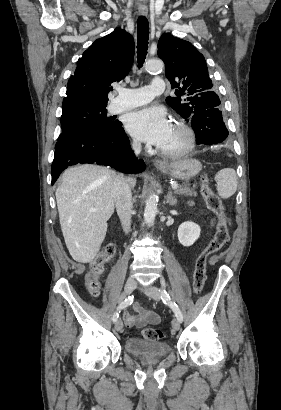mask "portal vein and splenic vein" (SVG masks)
I'll use <instances>...</instances> for the list:
<instances>
[{
    "mask_svg": "<svg viewBox=\"0 0 281 410\" xmlns=\"http://www.w3.org/2000/svg\"><path fill=\"white\" fill-rule=\"evenodd\" d=\"M178 187H179V185L176 184V183L171 184V188H172L173 190L177 189ZM96 210H97V209H95V208H91V209H90V211H96Z\"/></svg>",
    "mask_w": 281,
    "mask_h": 410,
    "instance_id": "obj_1",
    "label": "portal vein and splenic vein"
}]
</instances>
